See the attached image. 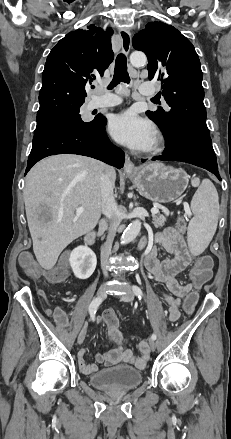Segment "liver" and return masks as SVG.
<instances>
[{
	"instance_id": "1",
	"label": "liver",
	"mask_w": 231,
	"mask_h": 439,
	"mask_svg": "<svg viewBox=\"0 0 231 439\" xmlns=\"http://www.w3.org/2000/svg\"><path fill=\"white\" fill-rule=\"evenodd\" d=\"M103 163L90 157L59 154L39 161L27 174L24 202L33 251L51 270L66 246L90 232L102 211ZM111 168L113 184L115 169ZM84 207L81 214L76 209Z\"/></svg>"
}]
</instances>
